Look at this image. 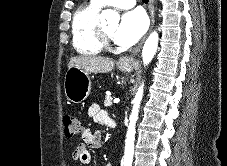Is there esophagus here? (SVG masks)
Here are the masks:
<instances>
[{
    "mask_svg": "<svg viewBox=\"0 0 227 166\" xmlns=\"http://www.w3.org/2000/svg\"><path fill=\"white\" fill-rule=\"evenodd\" d=\"M148 9H149V14H150V19H151V24H150V28L148 30V33L144 36V38L142 39V41L138 44V46H136L132 50V52L129 55H125V56H122L120 58L119 64H121V65H127V64H131V63H133L135 61V57L140 52V49L142 47V44L144 43L147 35L152 30V28L154 26V22H155V20H154V0H149Z\"/></svg>",
    "mask_w": 227,
    "mask_h": 166,
    "instance_id": "1",
    "label": "esophagus"
}]
</instances>
